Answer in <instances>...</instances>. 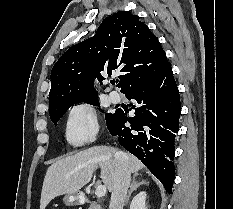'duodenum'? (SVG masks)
I'll return each instance as SVG.
<instances>
[{
  "label": "duodenum",
  "mask_w": 233,
  "mask_h": 209,
  "mask_svg": "<svg viewBox=\"0 0 233 209\" xmlns=\"http://www.w3.org/2000/svg\"><path fill=\"white\" fill-rule=\"evenodd\" d=\"M82 201L84 202V201H86V199H85V198H82Z\"/></svg>",
  "instance_id": "obj_1"
}]
</instances>
